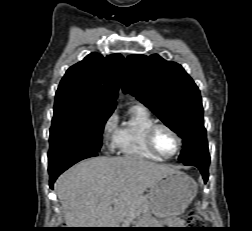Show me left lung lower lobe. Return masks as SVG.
<instances>
[{
    "mask_svg": "<svg viewBox=\"0 0 252 231\" xmlns=\"http://www.w3.org/2000/svg\"><path fill=\"white\" fill-rule=\"evenodd\" d=\"M210 163V157L206 159H198V160H191L183 163L184 165H193L196 166L200 172L202 173V176L204 178L205 183L208 180V168Z\"/></svg>",
    "mask_w": 252,
    "mask_h": 231,
    "instance_id": "left-lung-lower-lobe-1",
    "label": "left lung lower lobe"
}]
</instances>
